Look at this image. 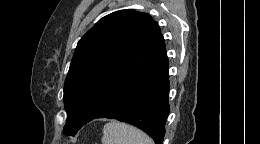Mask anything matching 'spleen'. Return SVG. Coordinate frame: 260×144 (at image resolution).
<instances>
[{
    "label": "spleen",
    "mask_w": 260,
    "mask_h": 144,
    "mask_svg": "<svg viewBox=\"0 0 260 144\" xmlns=\"http://www.w3.org/2000/svg\"><path fill=\"white\" fill-rule=\"evenodd\" d=\"M102 132V144H154L144 132L119 121L105 124Z\"/></svg>",
    "instance_id": "3e777b00"
}]
</instances>
